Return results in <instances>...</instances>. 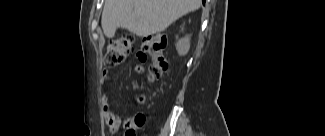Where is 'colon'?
Returning a JSON list of instances; mask_svg holds the SVG:
<instances>
[{
  "instance_id": "obj_1",
  "label": "colon",
  "mask_w": 325,
  "mask_h": 136,
  "mask_svg": "<svg viewBox=\"0 0 325 136\" xmlns=\"http://www.w3.org/2000/svg\"><path fill=\"white\" fill-rule=\"evenodd\" d=\"M167 39L162 34L148 36L142 41V49L149 55L152 64L148 70V79L155 80L162 76L167 69L165 49ZM134 50V38L131 34H123L111 41L104 55V64L113 67L123 62ZM125 136H135V131L129 129Z\"/></svg>"
}]
</instances>
